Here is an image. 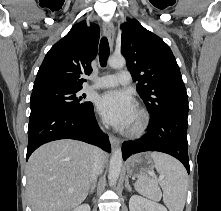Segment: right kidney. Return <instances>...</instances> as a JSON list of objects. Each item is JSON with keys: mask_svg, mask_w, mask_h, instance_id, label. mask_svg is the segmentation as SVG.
<instances>
[{"mask_svg": "<svg viewBox=\"0 0 221 211\" xmlns=\"http://www.w3.org/2000/svg\"><path fill=\"white\" fill-rule=\"evenodd\" d=\"M73 211H90V206L88 204H83L75 208Z\"/></svg>", "mask_w": 221, "mask_h": 211, "instance_id": "right-kidney-1", "label": "right kidney"}]
</instances>
